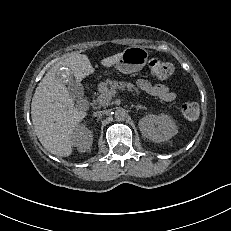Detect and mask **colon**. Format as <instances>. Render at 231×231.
Returning a JSON list of instances; mask_svg holds the SVG:
<instances>
[{
    "mask_svg": "<svg viewBox=\"0 0 231 231\" xmlns=\"http://www.w3.org/2000/svg\"><path fill=\"white\" fill-rule=\"evenodd\" d=\"M148 66L151 76L160 80L169 78L174 71L171 63L159 58H152ZM181 111L184 117L191 121L196 120L199 116V106L194 101L184 102L181 105Z\"/></svg>",
    "mask_w": 231,
    "mask_h": 231,
    "instance_id": "1",
    "label": "colon"
}]
</instances>
